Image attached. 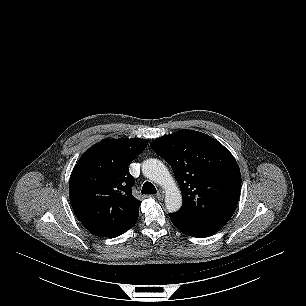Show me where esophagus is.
<instances>
[{
  "label": "esophagus",
  "instance_id": "1",
  "mask_svg": "<svg viewBox=\"0 0 306 306\" xmlns=\"http://www.w3.org/2000/svg\"><path fill=\"white\" fill-rule=\"evenodd\" d=\"M156 198H157L158 200H163V199H164V191L159 190V191L157 192V194H156Z\"/></svg>",
  "mask_w": 306,
  "mask_h": 306
}]
</instances>
